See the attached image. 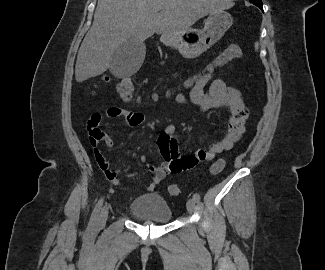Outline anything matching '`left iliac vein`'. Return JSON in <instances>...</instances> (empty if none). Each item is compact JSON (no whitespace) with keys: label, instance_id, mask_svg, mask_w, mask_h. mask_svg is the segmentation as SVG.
<instances>
[{"label":"left iliac vein","instance_id":"1","mask_svg":"<svg viewBox=\"0 0 325 270\" xmlns=\"http://www.w3.org/2000/svg\"><path fill=\"white\" fill-rule=\"evenodd\" d=\"M186 206H187V210H188V212H189V213H193L194 210H195V200H194V199H189V200L187 201Z\"/></svg>","mask_w":325,"mask_h":270}]
</instances>
